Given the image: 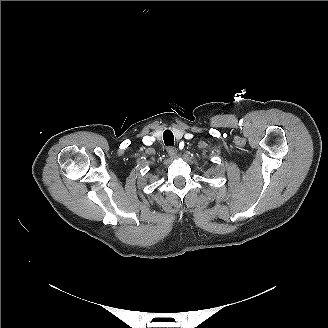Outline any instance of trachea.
<instances>
[{
	"instance_id": "obj_1",
	"label": "trachea",
	"mask_w": 328,
	"mask_h": 328,
	"mask_svg": "<svg viewBox=\"0 0 328 328\" xmlns=\"http://www.w3.org/2000/svg\"><path fill=\"white\" fill-rule=\"evenodd\" d=\"M163 140L165 145H171L173 147L174 145V136L173 133L170 130H165L163 133Z\"/></svg>"
}]
</instances>
